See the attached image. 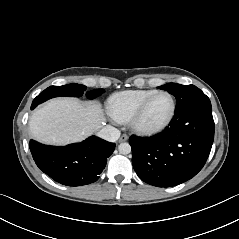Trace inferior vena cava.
<instances>
[{
  "mask_svg": "<svg viewBox=\"0 0 239 239\" xmlns=\"http://www.w3.org/2000/svg\"><path fill=\"white\" fill-rule=\"evenodd\" d=\"M98 136L106 141L115 142L120 137V131L113 126L107 125L98 132Z\"/></svg>",
  "mask_w": 239,
  "mask_h": 239,
  "instance_id": "602c4592",
  "label": "inferior vena cava"
}]
</instances>
